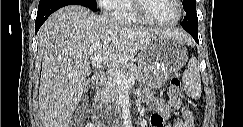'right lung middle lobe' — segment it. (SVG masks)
<instances>
[{"instance_id": "right-lung-middle-lobe-1", "label": "right lung middle lobe", "mask_w": 243, "mask_h": 127, "mask_svg": "<svg viewBox=\"0 0 243 127\" xmlns=\"http://www.w3.org/2000/svg\"><path fill=\"white\" fill-rule=\"evenodd\" d=\"M48 0H40L39 5L47 2ZM81 2L93 11H97L95 0H81Z\"/></svg>"}]
</instances>
